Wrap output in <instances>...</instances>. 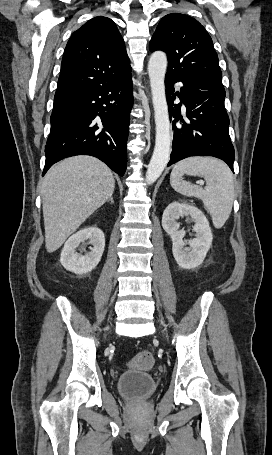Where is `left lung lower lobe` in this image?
Segmentation results:
<instances>
[{
    "label": "left lung lower lobe",
    "instance_id": "0a47b994",
    "mask_svg": "<svg viewBox=\"0 0 272 455\" xmlns=\"http://www.w3.org/2000/svg\"><path fill=\"white\" fill-rule=\"evenodd\" d=\"M183 86L178 94L182 103L173 107V84ZM169 115L175 120L171 159L168 166L190 156H213L225 161L233 171L234 147L229 136V117L224 106L225 90L222 80L207 79L184 73L165 77ZM172 95V96H171Z\"/></svg>",
    "mask_w": 272,
    "mask_h": 455
}]
</instances>
